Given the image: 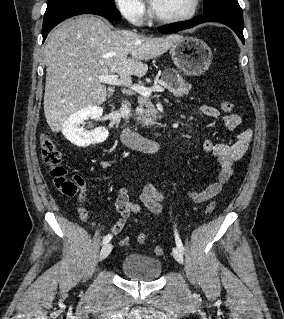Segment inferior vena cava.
<instances>
[{
	"label": "inferior vena cava",
	"mask_w": 284,
	"mask_h": 319,
	"mask_svg": "<svg viewBox=\"0 0 284 319\" xmlns=\"http://www.w3.org/2000/svg\"><path fill=\"white\" fill-rule=\"evenodd\" d=\"M130 103L125 101L124 103H122L121 108H120V112L122 114V116L126 119H128L130 117V113H131V109H130Z\"/></svg>",
	"instance_id": "1"
}]
</instances>
